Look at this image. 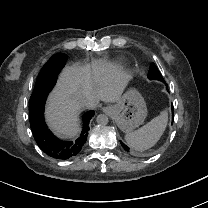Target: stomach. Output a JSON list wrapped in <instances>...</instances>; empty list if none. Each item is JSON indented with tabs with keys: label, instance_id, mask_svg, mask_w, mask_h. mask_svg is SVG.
Masks as SVG:
<instances>
[{
	"label": "stomach",
	"instance_id": "1",
	"mask_svg": "<svg viewBox=\"0 0 208 208\" xmlns=\"http://www.w3.org/2000/svg\"><path fill=\"white\" fill-rule=\"evenodd\" d=\"M110 115L124 133H129L143 123L147 115L146 104L141 95L131 90L125 93L114 106H109Z\"/></svg>",
	"mask_w": 208,
	"mask_h": 208
}]
</instances>
